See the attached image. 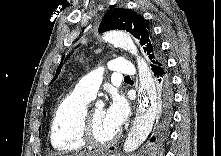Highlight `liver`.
I'll list each match as a JSON object with an SVG mask.
<instances>
[{"instance_id":"6515ba94","label":"liver","mask_w":221,"mask_h":156,"mask_svg":"<svg viewBox=\"0 0 221 156\" xmlns=\"http://www.w3.org/2000/svg\"><path fill=\"white\" fill-rule=\"evenodd\" d=\"M100 153L98 152H92V153H80V154H76V155H73V156H99Z\"/></svg>"}]
</instances>
